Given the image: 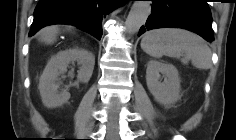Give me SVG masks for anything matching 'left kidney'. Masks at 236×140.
Here are the masks:
<instances>
[{"mask_svg": "<svg viewBox=\"0 0 236 140\" xmlns=\"http://www.w3.org/2000/svg\"><path fill=\"white\" fill-rule=\"evenodd\" d=\"M160 74L165 76L160 82ZM147 87L155 100L162 105H170L178 101L180 95V78L178 70L171 64L150 60L146 70Z\"/></svg>", "mask_w": 236, "mask_h": 140, "instance_id": "5707ae66", "label": "left kidney"}]
</instances>
